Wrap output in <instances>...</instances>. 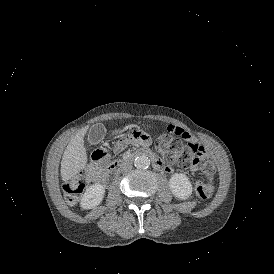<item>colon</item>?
Instances as JSON below:
<instances>
[{"mask_svg": "<svg viewBox=\"0 0 274 274\" xmlns=\"http://www.w3.org/2000/svg\"><path fill=\"white\" fill-rule=\"evenodd\" d=\"M146 131H131L130 135L127 136L128 144H137L138 140H146ZM156 149L160 156L167 162L173 163L174 159L181 155L187 154V152H193L190 143L183 142L178 139L175 134L165 133L157 138ZM86 180L85 178L83 179ZM83 184L81 181H71L64 185L63 194L65 201L68 205H74L77 202V195L82 192ZM194 190L197 196L201 199L209 198L214 188L212 182H206L204 180L198 181L195 184Z\"/></svg>", "mask_w": 274, "mask_h": 274, "instance_id": "obj_1", "label": "colon"}]
</instances>
